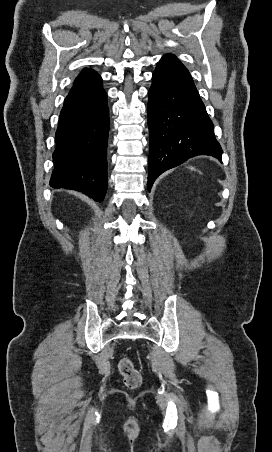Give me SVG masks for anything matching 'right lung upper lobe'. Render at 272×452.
<instances>
[{
  "mask_svg": "<svg viewBox=\"0 0 272 452\" xmlns=\"http://www.w3.org/2000/svg\"><path fill=\"white\" fill-rule=\"evenodd\" d=\"M98 76L99 75L94 70L85 68L82 70L80 75L76 78L74 84L86 83V82H89V81L95 79Z\"/></svg>",
  "mask_w": 272,
  "mask_h": 452,
  "instance_id": "right-lung-upper-lobe-1",
  "label": "right lung upper lobe"
}]
</instances>
